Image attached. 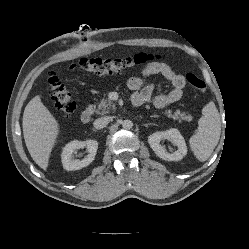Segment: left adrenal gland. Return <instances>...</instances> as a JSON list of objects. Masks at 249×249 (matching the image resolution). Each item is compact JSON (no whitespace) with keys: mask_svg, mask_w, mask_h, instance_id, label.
Wrapping results in <instances>:
<instances>
[{"mask_svg":"<svg viewBox=\"0 0 249 249\" xmlns=\"http://www.w3.org/2000/svg\"><path fill=\"white\" fill-rule=\"evenodd\" d=\"M151 117H158V116H156V115H153V116H151Z\"/></svg>","mask_w":249,"mask_h":249,"instance_id":"a2214340","label":"left adrenal gland"}]
</instances>
